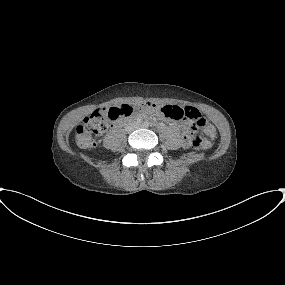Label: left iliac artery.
Segmentation results:
<instances>
[{
    "label": "left iliac artery",
    "mask_w": 285,
    "mask_h": 285,
    "mask_svg": "<svg viewBox=\"0 0 285 285\" xmlns=\"http://www.w3.org/2000/svg\"><path fill=\"white\" fill-rule=\"evenodd\" d=\"M145 125H146V126H148V125H149V123H148V122H145Z\"/></svg>",
    "instance_id": "1"
}]
</instances>
